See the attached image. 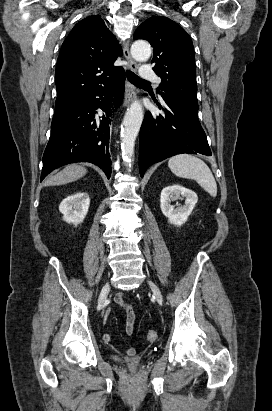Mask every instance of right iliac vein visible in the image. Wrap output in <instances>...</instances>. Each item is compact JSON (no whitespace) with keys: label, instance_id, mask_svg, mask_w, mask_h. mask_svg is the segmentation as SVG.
I'll list each match as a JSON object with an SVG mask.
<instances>
[{"label":"right iliac vein","instance_id":"1","mask_svg":"<svg viewBox=\"0 0 272 411\" xmlns=\"http://www.w3.org/2000/svg\"><path fill=\"white\" fill-rule=\"evenodd\" d=\"M109 290H110V285L107 283V284L104 286V288H103V290H102V292H101V295H100V297H99V300H98V305H99L100 307H102V306L105 304Z\"/></svg>","mask_w":272,"mask_h":411}]
</instances>
